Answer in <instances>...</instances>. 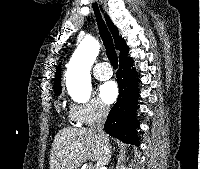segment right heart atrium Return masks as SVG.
I'll return each instance as SVG.
<instances>
[{
    "instance_id": "1",
    "label": "right heart atrium",
    "mask_w": 200,
    "mask_h": 169,
    "mask_svg": "<svg viewBox=\"0 0 200 169\" xmlns=\"http://www.w3.org/2000/svg\"><path fill=\"white\" fill-rule=\"evenodd\" d=\"M108 113L107 105L98 98H90L83 103L72 104L69 111L71 120L80 126L91 125L103 120Z\"/></svg>"
}]
</instances>
